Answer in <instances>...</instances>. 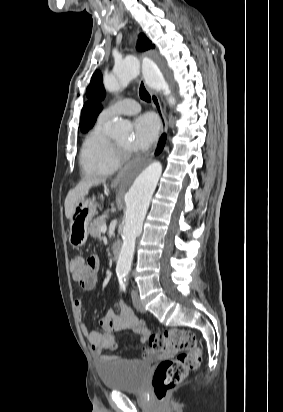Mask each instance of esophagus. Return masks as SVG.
I'll return each mask as SVG.
<instances>
[{"mask_svg": "<svg viewBox=\"0 0 283 412\" xmlns=\"http://www.w3.org/2000/svg\"><path fill=\"white\" fill-rule=\"evenodd\" d=\"M149 93H150V96H151V99H152V104H153L154 108L156 109V111L159 115V118H160L161 134H164V133L167 132L168 124H167V119H166V116L164 114L161 102H160V98H159L158 94L153 92V91L149 90ZM122 177H123V173H119L115 177V179L112 181V185H117L118 183H120Z\"/></svg>", "mask_w": 283, "mask_h": 412, "instance_id": "34e87169", "label": "esophagus"}]
</instances>
